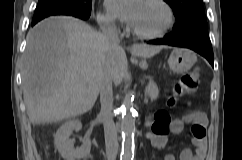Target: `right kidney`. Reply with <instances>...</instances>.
Here are the masks:
<instances>
[{"mask_svg": "<svg viewBox=\"0 0 242 160\" xmlns=\"http://www.w3.org/2000/svg\"><path fill=\"white\" fill-rule=\"evenodd\" d=\"M82 124L79 120H69L64 123L55 135V145L61 156L66 160L85 159L90 155L91 141L89 135H86L85 141L80 147H74L73 140L70 135L73 130L79 131Z\"/></svg>", "mask_w": 242, "mask_h": 160, "instance_id": "ca27d5eb", "label": "right kidney"}]
</instances>
